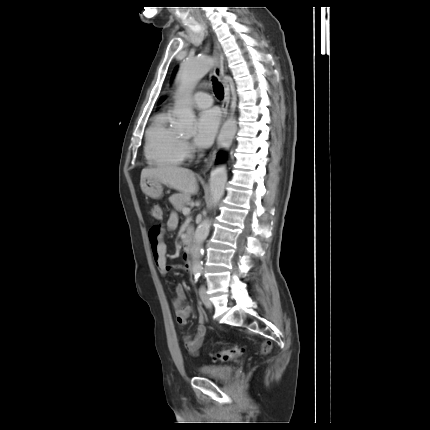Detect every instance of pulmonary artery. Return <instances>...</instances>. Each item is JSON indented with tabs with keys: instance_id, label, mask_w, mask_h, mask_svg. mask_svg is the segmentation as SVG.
<instances>
[{
	"instance_id": "e3ab8cb5",
	"label": "pulmonary artery",
	"mask_w": 430,
	"mask_h": 430,
	"mask_svg": "<svg viewBox=\"0 0 430 430\" xmlns=\"http://www.w3.org/2000/svg\"><path fill=\"white\" fill-rule=\"evenodd\" d=\"M192 103L196 108L205 109L212 105V97L203 91H197L192 96Z\"/></svg>"
}]
</instances>
